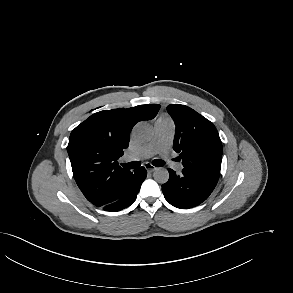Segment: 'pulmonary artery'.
<instances>
[{
	"instance_id": "obj_1",
	"label": "pulmonary artery",
	"mask_w": 293,
	"mask_h": 293,
	"mask_svg": "<svg viewBox=\"0 0 293 293\" xmlns=\"http://www.w3.org/2000/svg\"><path fill=\"white\" fill-rule=\"evenodd\" d=\"M174 133L175 126L171 120H158L155 123V136L151 142L126 155L125 161H140L158 153L165 154L172 143ZM182 168L181 163L174 165V169L177 171H180Z\"/></svg>"
}]
</instances>
